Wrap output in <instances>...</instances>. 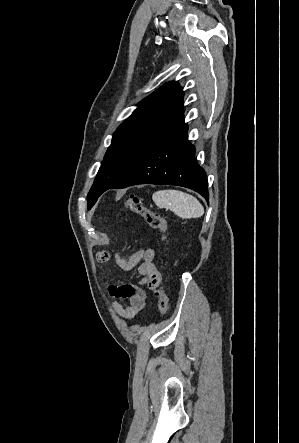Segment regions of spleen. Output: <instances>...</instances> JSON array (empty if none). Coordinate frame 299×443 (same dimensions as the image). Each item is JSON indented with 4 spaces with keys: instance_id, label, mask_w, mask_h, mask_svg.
I'll return each mask as SVG.
<instances>
[{
    "instance_id": "obj_1",
    "label": "spleen",
    "mask_w": 299,
    "mask_h": 443,
    "mask_svg": "<svg viewBox=\"0 0 299 443\" xmlns=\"http://www.w3.org/2000/svg\"><path fill=\"white\" fill-rule=\"evenodd\" d=\"M152 199L159 208L169 209L180 218H199L204 214V207L196 197L179 190H160Z\"/></svg>"
}]
</instances>
